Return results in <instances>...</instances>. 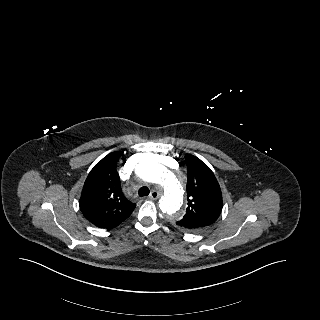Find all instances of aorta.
<instances>
[{"label":"aorta","mask_w":320,"mask_h":320,"mask_svg":"<svg viewBox=\"0 0 320 320\" xmlns=\"http://www.w3.org/2000/svg\"><path fill=\"white\" fill-rule=\"evenodd\" d=\"M158 155L146 154L144 160L135 167V174L146 182L163 187L164 195L160 201V209L170 219H180L183 215V190L176 175L157 161Z\"/></svg>","instance_id":"aorta-1"}]
</instances>
